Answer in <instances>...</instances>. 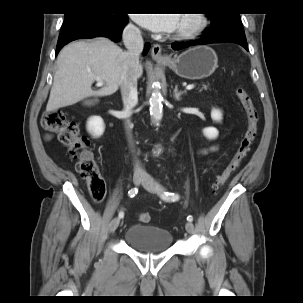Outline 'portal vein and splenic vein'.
Returning <instances> with one entry per match:
<instances>
[{
    "label": "portal vein and splenic vein",
    "mask_w": 303,
    "mask_h": 303,
    "mask_svg": "<svg viewBox=\"0 0 303 303\" xmlns=\"http://www.w3.org/2000/svg\"><path fill=\"white\" fill-rule=\"evenodd\" d=\"M95 80L97 81V86H103L104 85V82L98 78V77H95ZM194 88V85H188L186 87L187 90H192Z\"/></svg>",
    "instance_id": "obj_1"
}]
</instances>
